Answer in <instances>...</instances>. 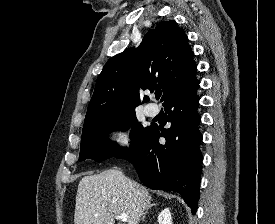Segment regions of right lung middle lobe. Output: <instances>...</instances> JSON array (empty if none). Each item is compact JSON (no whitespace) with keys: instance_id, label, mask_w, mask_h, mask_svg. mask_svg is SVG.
I'll use <instances>...</instances> for the list:
<instances>
[{"instance_id":"right-lung-middle-lobe-1","label":"right lung middle lobe","mask_w":275,"mask_h":224,"mask_svg":"<svg viewBox=\"0 0 275 224\" xmlns=\"http://www.w3.org/2000/svg\"><path fill=\"white\" fill-rule=\"evenodd\" d=\"M133 125L130 131L131 145L142 137L150 128L143 127L137 121L135 111L117 114L95 122L82 131L80 160L95 159L102 161L124 152L126 148H121L115 142L107 139V131L122 129L126 130ZM130 145V146H131Z\"/></svg>"}]
</instances>
